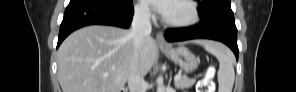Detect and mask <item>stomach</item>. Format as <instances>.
<instances>
[{"mask_svg": "<svg viewBox=\"0 0 296 92\" xmlns=\"http://www.w3.org/2000/svg\"><path fill=\"white\" fill-rule=\"evenodd\" d=\"M162 52L175 64H177L185 73L193 72L199 65V60L186 47L163 49Z\"/></svg>", "mask_w": 296, "mask_h": 92, "instance_id": "stomach-1", "label": "stomach"}]
</instances>
